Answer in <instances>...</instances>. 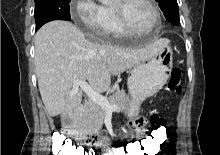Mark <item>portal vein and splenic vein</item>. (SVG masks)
<instances>
[{"mask_svg":"<svg viewBox=\"0 0 220 155\" xmlns=\"http://www.w3.org/2000/svg\"><path fill=\"white\" fill-rule=\"evenodd\" d=\"M79 87L87 94L90 100L100 105L104 110L115 111L118 109L117 105L110 104L106 97L102 96L99 92L93 90V88L84 80L74 81L73 91L71 92V95L74 94Z\"/></svg>","mask_w":220,"mask_h":155,"instance_id":"portal-vein-and-splenic-vein-1","label":"portal vein and splenic vein"}]
</instances>
